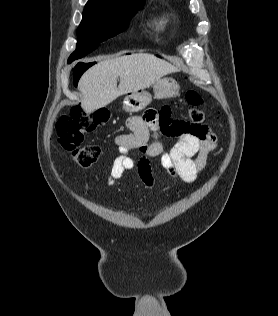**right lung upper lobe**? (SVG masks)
Listing matches in <instances>:
<instances>
[{
  "label": "right lung upper lobe",
  "mask_w": 278,
  "mask_h": 316,
  "mask_svg": "<svg viewBox=\"0 0 278 316\" xmlns=\"http://www.w3.org/2000/svg\"><path fill=\"white\" fill-rule=\"evenodd\" d=\"M145 0H89L86 5L97 6H117V5H133L135 3L144 2Z\"/></svg>",
  "instance_id": "1"
}]
</instances>
